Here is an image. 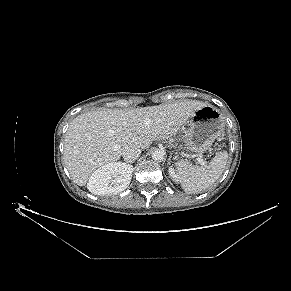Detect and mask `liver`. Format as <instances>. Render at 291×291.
Instances as JSON below:
<instances>
[{
  "label": "liver",
  "instance_id": "liver-1",
  "mask_svg": "<svg viewBox=\"0 0 291 291\" xmlns=\"http://www.w3.org/2000/svg\"><path fill=\"white\" fill-rule=\"evenodd\" d=\"M206 104L181 100L132 110H97L78 115L64 139V161L73 181L86 185L92 173L122 156L126 146L147 149L154 140L177 134Z\"/></svg>",
  "mask_w": 291,
  "mask_h": 291
}]
</instances>
